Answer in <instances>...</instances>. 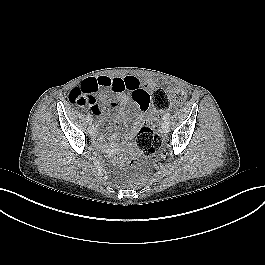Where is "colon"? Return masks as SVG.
I'll use <instances>...</instances> for the list:
<instances>
[{"label":"colon","mask_w":265,"mask_h":265,"mask_svg":"<svg viewBox=\"0 0 265 265\" xmlns=\"http://www.w3.org/2000/svg\"><path fill=\"white\" fill-rule=\"evenodd\" d=\"M74 89L69 93L68 100L72 105L81 106L84 103L81 94L74 92ZM92 89H95V86H93ZM183 99L184 92L182 90L170 87L158 88L151 96L153 107L157 111L168 109L172 100L182 101ZM151 121L153 124H156V118H152ZM135 145L141 154L150 155L160 149L161 139L154 129L150 126H144L135 136ZM126 165L128 168V177L125 181L126 185L135 187L146 181V175L141 171V158L138 154H129Z\"/></svg>","instance_id":"obj_1"}]
</instances>
